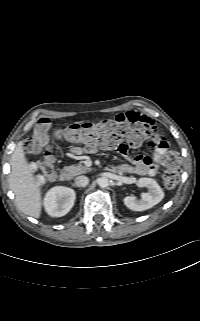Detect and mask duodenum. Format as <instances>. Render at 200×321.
<instances>
[{
	"mask_svg": "<svg viewBox=\"0 0 200 321\" xmlns=\"http://www.w3.org/2000/svg\"><path fill=\"white\" fill-rule=\"evenodd\" d=\"M110 169V168H109ZM111 170V169H110ZM112 171V170H111ZM114 172V171H113ZM59 178L62 181H68L71 178V172L68 169H62L59 174Z\"/></svg>",
	"mask_w": 200,
	"mask_h": 321,
	"instance_id": "410a0bca",
	"label": "duodenum"
}]
</instances>
